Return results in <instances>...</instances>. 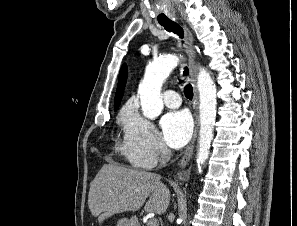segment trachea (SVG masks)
Wrapping results in <instances>:
<instances>
[{
	"mask_svg": "<svg viewBox=\"0 0 297 226\" xmlns=\"http://www.w3.org/2000/svg\"><path fill=\"white\" fill-rule=\"evenodd\" d=\"M160 24L166 29V31L175 33L180 38H183V36H184L183 29L177 23L169 21V22H163V23H160ZM188 73H189V71H188V68L186 67L184 69L183 76L184 77L187 76ZM184 93H185V96L188 99L192 100V97H193V87H192V85H186L184 87Z\"/></svg>",
	"mask_w": 297,
	"mask_h": 226,
	"instance_id": "obj_1",
	"label": "trachea"
}]
</instances>
